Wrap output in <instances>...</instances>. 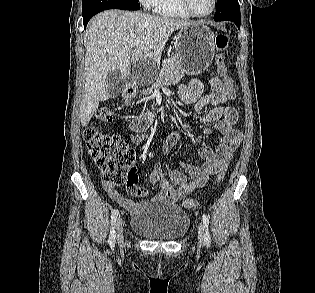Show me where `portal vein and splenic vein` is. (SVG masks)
Here are the masks:
<instances>
[{
	"mask_svg": "<svg viewBox=\"0 0 315 293\" xmlns=\"http://www.w3.org/2000/svg\"><path fill=\"white\" fill-rule=\"evenodd\" d=\"M138 44H139V41H136V42L134 43V46H138Z\"/></svg>",
	"mask_w": 315,
	"mask_h": 293,
	"instance_id": "portal-vein-and-splenic-vein-1",
	"label": "portal vein and splenic vein"
}]
</instances>
